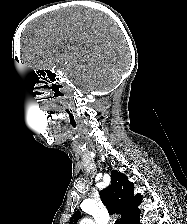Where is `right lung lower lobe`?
<instances>
[{"instance_id": "1", "label": "right lung lower lobe", "mask_w": 187, "mask_h": 224, "mask_svg": "<svg viewBox=\"0 0 187 224\" xmlns=\"http://www.w3.org/2000/svg\"><path fill=\"white\" fill-rule=\"evenodd\" d=\"M132 224H140L139 217Z\"/></svg>"}]
</instances>
